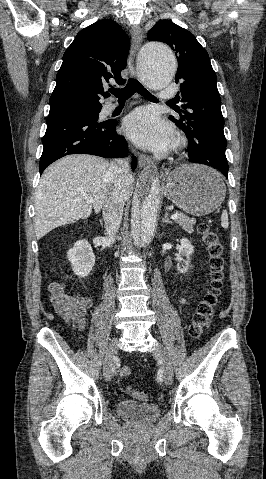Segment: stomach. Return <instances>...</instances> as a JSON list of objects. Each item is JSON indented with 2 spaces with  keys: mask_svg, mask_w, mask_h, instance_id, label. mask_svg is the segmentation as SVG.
<instances>
[{
  "mask_svg": "<svg viewBox=\"0 0 266 479\" xmlns=\"http://www.w3.org/2000/svg\"><path fill=\"white\" fill-rule=\"evenodd\" d=\"M163 188L170 201L193 216H204L213 212L226 195L221 175L199 164L176 168L167 176Z\"/></svg>",
  "mask_w": 266,
  "mask_h": 479,
  "instance_id": "stomach-1",
  "label": "stomach"
}]
</instances>
